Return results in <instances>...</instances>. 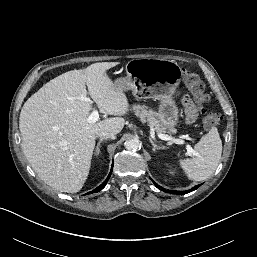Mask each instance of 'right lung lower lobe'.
Listing matches in <instances>:
<instances>
[{
  "label": "right lung lower lobe",
  "instance_id": "98d812e1",
  "mask_svg": "<svg viewBox=\"0 0 257 257\" xmlns=\"http://www.w3.org/2000/svg\"><path fill=\"white\" fill-rule=\"evenodd\" d=\"M112 167H113V166H112ZM111 173H112V169H111V171H110V173H109V175H108V178L105 180V182H103L99 187H97L96 189L92 190V191L89 192V193H94V192L97 193V192L101 191V190L105 187V185H106L108 179L110 178ZM89 193H88V194H89Z\"/></svg>",
  "mask_w": 257,
  "mask_h": 257
}]
</instances>
